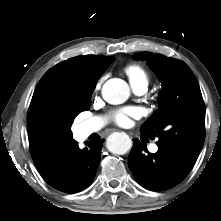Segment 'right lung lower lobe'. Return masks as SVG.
<instances>
[{
	"instance_id": "obj_1",
	"label": "right lung lower lobe",
	"mask_w": 221,
	"mask_h": 221,
	"mask_svg": "<svg viewBox=\"0 0 221 221\" xmlns=\"http://www.w3.org/2000/svg\"><path fill=\"white\" fill-rule=\"evenodd\" d=\"M104 140L86 142L80 149L74 140L67 147L36 165L42 178L53 188L76 193L88 187L94 179L101 159Z\"/></svg>"
}]
</instances>
